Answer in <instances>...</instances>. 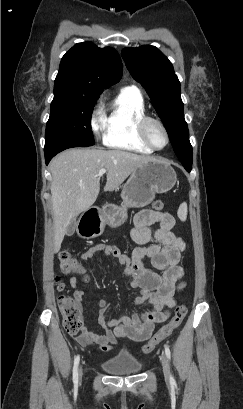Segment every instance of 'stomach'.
<instances>
[{
  "mask_svg": "<svg viewBox=\"0 0 243 409\" xmlns=\"http://www.w3.org/2000/svg\"><path fill=\"white\" fill-rule=\"evenodd\" d=\"M176 181V172L170 164L160 160L143 164L132 172L123 186L122 207L106 205L99 216L79 227V235L83 238H94L103 233L106 224L112 228L120 226L127 219V208L147 206L156 194L171 190Z\"/></svg>",
  "mask_w": 243,
  "mask_h": 409,
  "instance_id": "stomach-1",
  "label": "stomach"
}]
</instances>
